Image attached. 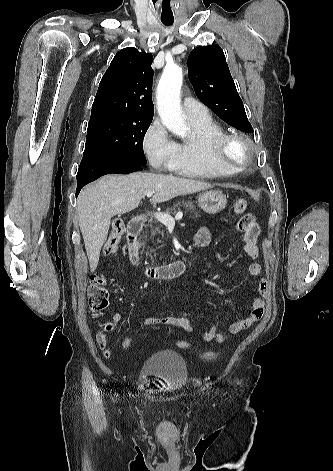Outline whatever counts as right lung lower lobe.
Returning a JSON list of instances; mask_svg holds the SVG:
<instances>
[{"label":"right lung lower lobe","mask_w":333,"mask_h":471,"mask_svg":"<svg viewBox=\"0 0 333 471\" xmlns=\"http://www.w3.org/2000/svg\"><path fill=\"white\" fill-rule=\"evenodd\" d=\"M140 170H142V165L124 163L114 160L81 161L77 173L76 196L86 184L98 179L103 175L111 173L127 174Z\"/></svg>","instance_id":"right-lung-lower-lobe-1"}]
</instances>
